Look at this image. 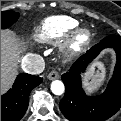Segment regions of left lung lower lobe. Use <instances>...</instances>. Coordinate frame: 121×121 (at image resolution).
Returning a JSON list of instances; mask_svg holds the SVG:
<instances>
[{"mask_svg": "<svg viewBox=\"0 0 121 121\" xmlns=\"http://www.w3.org/2000/svg\"><path fill=\"white\" fill-rule=\"evenodd\" d=\"M116 51L117 63L114 75L105 92L99 96H87L81 84V73L105 48ZM65 95L60 101V110L70 121H103L114 115L121 107V37L109 35L81 56L62 75Z\"/></svg>", "mask_w": 121, "mask_h": 121, "instance_id": "0a47b994", "label": "left lung lower lobe"}]
</instances>
